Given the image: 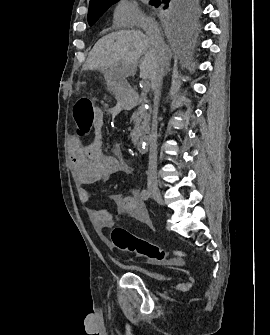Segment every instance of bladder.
<instances>
[{
  "mask_svg": "<svg viewBox=\"0 0 270 335\" xmlns=\"http://www.w3.org/2000/svg\"><path fill=\"white\" fill-rule=\"evenodd\" d=\"M142 274H145V271H143ZM150 277L160 280H164L165 278V276L162 273H152V272H150Z\"/></svg>",
  "mask_w": 270,
  "mask_h": 335,
  "instance_id": "obj_1",
  "label": "bladder"
}]
</instances>
